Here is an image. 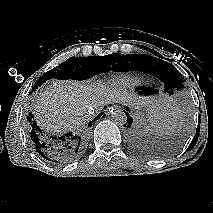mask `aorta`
Returning a JSON list of instances; mask_svg holds the SVG:
<instances>
[{
  "label": "aorta",
  "instance_id": "obj_1",
  "mask_svg": "<svg viewBox=\"0 0 213 213\" xmlns=\"http://www.w3.org/2000/svg\"><path fill=\"white\" fill-rule=\"evenodd\" d=\"M111 117L112 121L118 126H123L127 123V116L122 111L114 112Z\"/></svg>",
  "mask_w": 213,
  "mask_h": 213
}]
</instances>
